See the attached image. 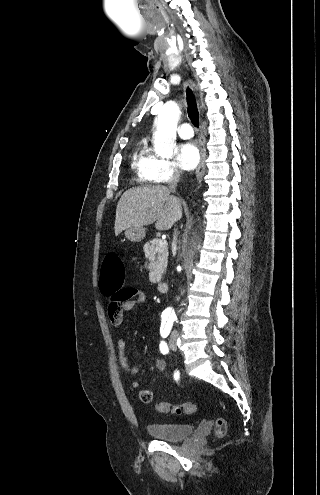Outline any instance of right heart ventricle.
Listing matches in <instances>:
<instances>
[{
    "label": "right heart ventricle",
    "mask_w": 320,
    "mask_h": 495,
    "mask_svg": "<svg viewBox=\"0 0 320 495\" xmlns=\"http://www.w3.org/2000/svg\"><path fill=\"white\" fill-rule=\"evenodd\" d=\"M153 157L145 143H141L132 157V168L140 182L149 183L151 178V164Z\"/></svg>",
    "instance_id": "e07e8e85"
}]
</instances>
